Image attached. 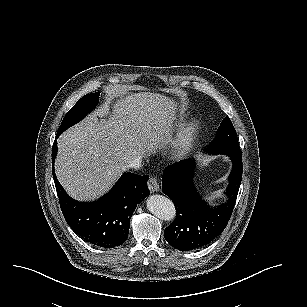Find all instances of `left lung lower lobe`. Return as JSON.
<instances>
[{"instance_id": "left-lung-lower-lobe-1", "label": "left lung lower lobe", "mask_w": 307, "mask_h": 307, "mask_svg": "<svg viewBox=\"0 0 307 307\" xmlns=\"http://www.w3.org/2000/svg\"><path fill=\"white\" fill-rule=\"evenodd\" d=\"M233 161L226 194L228 200L211 208L196 192L193 160H183L165 168L162 191L176 207V218L164 231L166 241L181 251H193L209 245L227 226L242 180V155H228Z\"/></svg>"}]
</instances>
